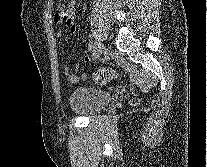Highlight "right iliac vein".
<instances>
[{
	"instance_id": "right-iliac-vein-1",
	"label": "right iliac vein",
	"mask_w": 207,
	"mask_h": 167,
	"mask_svg": "<svg viewBox=\"0 0 207 167\" xmlns=\"http://www.w3.org/2000/svg\"><path fill=\"white\" fill-rule=\"evenodd\" d=\"M103 51H104L103 43L100 40H97L94 48V57L96 59L100 58L101 55L103 54Z\"/></svg>"
}]
</instances>
